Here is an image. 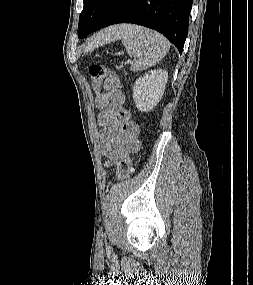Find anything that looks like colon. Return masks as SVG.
Masks as SVG:
<instances>
[{
  "mask_svg": "<svg viewBox=\"0 0 253 285\" xmlns=\"http://www.w3.org/2000/svg\"><path fill=\"white\" fill-rule=\"evenodd\" d=\"M91 83L94 90H98L103 79L110 76V70L102 65L93 64L89 68ZM134 172L132 160L128 155L119 159L117 166V179L123 181L129 178Z\"/></svg>",
  "mask_w": 253,
  "mask_h": 285,
  "instance_id": "5ec220e1",
  "label": "colon"
}]
</instances>
